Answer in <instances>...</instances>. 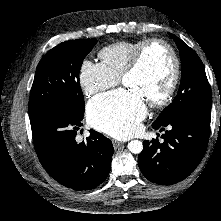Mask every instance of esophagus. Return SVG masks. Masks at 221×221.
<instances>
[{
  "label": "esophagus",
  "mask_w": 221,
  "mask_h": 221,
  "mask_svg": "<svg viewBox=\"0 0 221 221\" xmlns=\"http://www.w3.org/2000/svg\"><path fill=\"white\" fill-rule=\"evenodd\" d=\"M112 144H113V147L115 148V149H117L119 146H121L122 144H123V142H121V141H117V140H112Z\"/></svg>",
  "instance_id": "obj_1"
}]
</instances>
